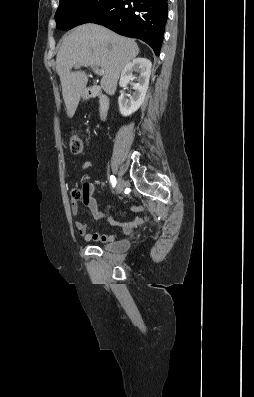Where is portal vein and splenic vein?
<instances>
[{"label": "portal vein and splenic vein", "instance_id": "obj_1", "mask_svg": "<svg viewBox=\"0 0 254 397\" xmlns=\"http://www.w3.org/2000/svg\"><path fill=\"white\" fill-rule=\"evenodd\" d=\"M78 67L79 66H77L76 68H78ZM93 67H94V71H95L96 74H98V75H103L104 74V70L103 69H99L96 66H93Z\"/></svg>", "mask_w": 254, "mask_h": 397}]
</instances>
